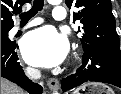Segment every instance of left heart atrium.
<instances>
[{"mask_svg":"<svg viewBox=\"0 0 121 94\" xmlns=\"http://www.w3.org/2000/svg\"><path fill=\"white\" fill-rule=\"evenodd\" d=\"M24 58L38 67L59 65L68 53V42L51 26L28 33L22 43Z\"/></svg>","mask_w":121,"mask_h":94,"instance_id":"1","label":"left heart atrium"}]
</instances>
